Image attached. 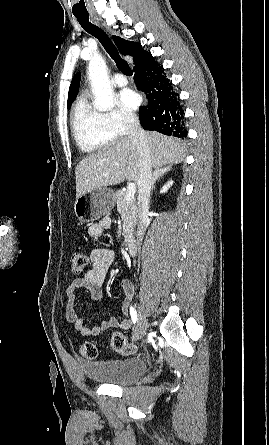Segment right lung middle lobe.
Returning a JSON list of instances; mask_svg holds the SVG:
<instances>
[{
    "mask_svg": "<svg viewBox=\"0 0 269 445\" xmlns=\"http://www.w3.org/2000/svg\"><path fill=\"white\" fill-rule=\"evenodd\" d=\"M71 103H72V102H69V103H68V109L70 108V106H71Z\"/></svg>",
    "mask_w": 269,
    "mask_h": 445,
    "instance_id": "1",
    "label": "right lung middle lobe"
}]
</instances>
